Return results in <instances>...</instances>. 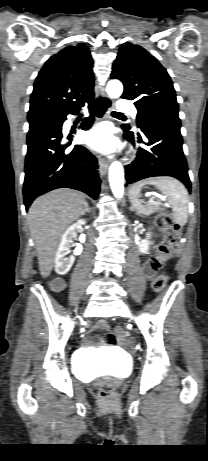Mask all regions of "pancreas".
<instances>
[{"label":"pancreas","mask_w":208,"mask_h":461,"mask_svg":"<svg viewBox=\"0 0 208 461\" xmlns=\"http://www.w3.org/2000/svg\"><path fill=\"white\" fill-rule=\"evenodd\" d=\"M151 208H152V211L154 212L156 210H160L161 206L159 204H157V205L152 206Z\"/></svg>","instance_id":"1"}]
</instances>
